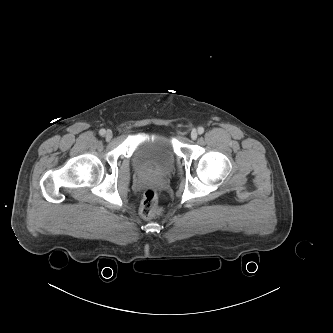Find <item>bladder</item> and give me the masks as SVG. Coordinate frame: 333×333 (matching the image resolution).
Instances as JSON below:
<instances>
[{"label":"bladder","mask_w":333,"mask_h":333,"mask_svg":"<svg viewBox=\"0 0 333 333\" xmlns=\"http://www.w3.org/2000/svg\"><path fill=\"white\" fill-rule=\"evenodd\" d=\"M175 158L170 136L157 131L137 145L132 154V163L143 173L166 174L173 169Z\"/></svg>","instance_id":"1"}]
</instances>
